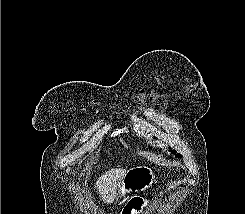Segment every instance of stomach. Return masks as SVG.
<instances>
[{
    "instance_id": "stomach-1",
    "label": "stomach",
    "mask_w": 245,
    "mask_h": 214,
    "mask_svg": "<svg viewBox=\"0 0 245 214\" xmlns=\"http://www.w3.org/2000/svg\"><path fill=\"white\" fill-rule=\"evenodd\" d=\"M156 183L155 175L147 166H136L129 169L119 189V197H125L128 193L145 191Z\"/></svg>"
}]
</instances>
